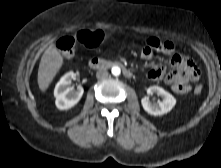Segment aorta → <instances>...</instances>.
Here are the masks:
<instances>
[{"mask_svg": "<svg viewBox=\"0 0 221 168\" xmlns=\"http://www.w3.org/2000/svg\"><path fill=\"white\" fill-rule=\"evenodd\" d=\"M111 71L114 76H119L121 73V69L118 66H113Z\"/></svg>", "mask_w": 221, "mask_h": 168, "instance_id": "obj_1", "label": "aorta"}]
</instances>
